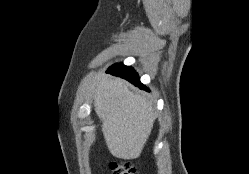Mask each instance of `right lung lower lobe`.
Returning a JSON list of instances; mask_svg holds the SVG:
<instances>
[{
	"mask_svg": "<svg viewBox=\"0 0 249 174\" xmlns=\"http://www.w3.org/2000/svg\"><path fill=\"white\" fill-rule=\"evenodd\" d=\"M107 73L124 78L135 86H139L141 89L148 90L143 84H141L138 74L130 66H125L122 63H118L108 68Z\"/></svg>",
	"mask_w": 249,
	"mask_h": 174,
	"instance_id": "98d812e1",
	"label": "right lung lower lobe"
}]
</instances>
